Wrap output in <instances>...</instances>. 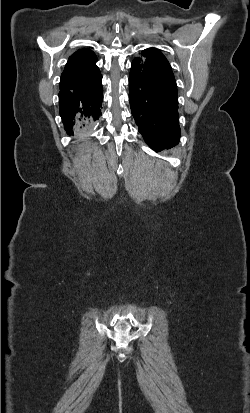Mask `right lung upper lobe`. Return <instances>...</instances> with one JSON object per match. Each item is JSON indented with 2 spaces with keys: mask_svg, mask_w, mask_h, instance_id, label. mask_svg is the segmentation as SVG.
Returning <instances> with one entry per match:
<instances>
[{
  "mask_svg": "<svg viewBox=\"0 0 250 413\" xmlns=\"http://www.w3.org/2000/svg\"><path fill=\"white\" fill-rule=\"evenodd\" d=\"M96 61V55L90 49L78 50L69 57L60 85H78L91 79L99 70Z\"/></svg>",
  "mask_w": 250,
  "mask_h": 413,
  "instance_id": "right-lung-upper-lobe-1",
  "label": "right lung upper lobe"
}]
</instances>
